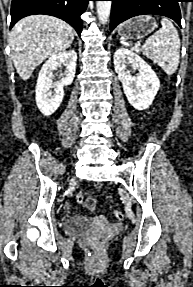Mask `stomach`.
Listing matches in <instances>:
<instances>
[{"instance_id":"0dacf381","label":"stomach","mask_w":193,"mask_h":287,"mask_svg":"<svg viewBox=\"0 0 193 287\" xmlns=\"http://www.w3.org/2000/svg\"><path fill=\"white\" fill-rule=\"evenodd\" d=\"M157 27L153 17L144 15L130 19L118 27V33L124 38L141 39Z\"/></svg>"}]
</instances>
